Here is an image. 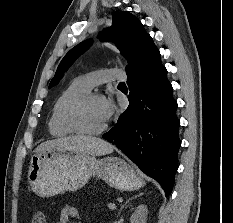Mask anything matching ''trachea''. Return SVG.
<instances>
[{"instance_id": "trachea-1", "label": "trachea", "mask_w": 233, "mask_h": 223, "mask_svg": "<svg viewBox=\"0 0 233 223\" xmlns=\"http://www.w3.org/2000/svg\"><path fill=\"white\" fill-rule=\"evenodd\" d=\"M119 85H125V83L124 82H120Z\"/></svg>"}]
</instances>
